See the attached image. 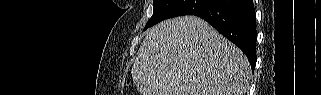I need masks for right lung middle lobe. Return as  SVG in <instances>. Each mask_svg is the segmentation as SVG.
I'll return each instance as SVG.
<instances>
[{
    "label": "right lung middle lobe",
    "instance_id": "1",
    "mask_svg": "<svg viewBox=\"0 0 321 95\" xmlns=\"http://www.w3.org/2000/svg\"><path fill=\"white\" fill-rule=\"evenodd\" d=\"M209 0H153V15L144 30L158 22L183 15H190Z\"/></svg>",
    "mask_w": 321,
    "mask_h": 95
}]
</instances>
